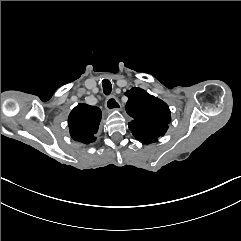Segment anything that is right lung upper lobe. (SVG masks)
<instances>
[{
  "instance_id": "cb5924a9",
  "label": "right lung upper lobe",
  "mask_w": 241,
  "mask_h": 241,
  "mask_svg": "<svg viewBox=\"0 0 241 241\" xmlns=\"http://www.w3.org/2000/svg\"><path fill=\"white\" fill-rule=\"evenodd\" d=\"M100 121L101 110L98 107L87 104L77 105L68 118L71 137L84 144L94 142Z\"/></svg>"
}]
</instances>
